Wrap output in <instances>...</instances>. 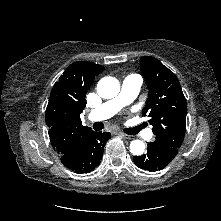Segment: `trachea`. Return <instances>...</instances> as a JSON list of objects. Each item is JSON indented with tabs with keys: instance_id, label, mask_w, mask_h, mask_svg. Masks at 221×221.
Returning a JSON list of instances; mask_svg holds the SVG:
<instances>
[{
	"instance_id": "1",
	"label": "trachea",
	"mask_w": 221,
	"mask_h": 221,
	"mask_svg": "<svg viewBox=\"0 0 221 221\" xmlns=\"http://www.w3.org/2000/svg\"><path fill=\"white\" fill-rule=\"evenodd\" d=\"M103 127H104V125H103V123H101V122H96V123L93 124V128H94V130H96V131L102 130ZM141 128H142V126H138V127H134V128L125 129L124 131H125V133H127V134L133 135V134L138 133Z\"/></svg>"
}]
</instances>
